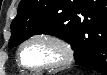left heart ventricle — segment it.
<instances>
[{
  "label": "left heart ventricle",
  "instance_id": "left-heart-ventricle-1",
  "mask_svg": "<svg viewBox=\"0 0 107 75\" xmlns=\"http://www.w3.org/2000/svg\"><path fill=\"white\" fill-rule=\"evenodd\" d=\"M61 58L60 51L46 41H33L22 51L23 61L30 66H43L57 62Z\"/></svg>",
  "mask_w": 107,
  "mask_h": 75
}]
</instances>
